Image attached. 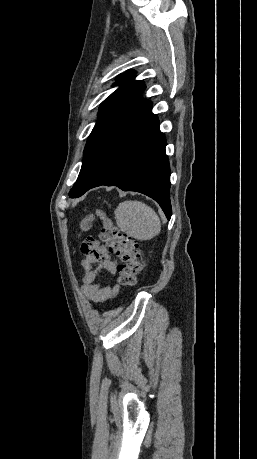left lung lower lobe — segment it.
<instances>
[{"label":"left lung lower lobe","instance_id":"obj_1","mask_svg":"<svg viewBox=\"0 0 257 459\" xmlns=\"http://www.w3.org/2000/svg\"><path fill=\"white\" fill-rule=\"evenodd\" d=\"M151 110V102L139 97L108 130L102 142L100 166L89 189L107 185L146 194L159 203L170 219L166 139Z\"/></svg>","mask_w":257,"mask_h":459}]
</instances>
